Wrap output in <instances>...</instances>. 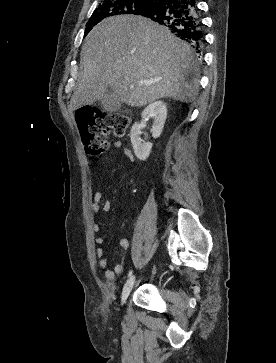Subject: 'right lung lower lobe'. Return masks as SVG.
<instances>
[{"mask_svg": "<svg viewBox=\"0 0 276 363\" xmlns=\"http://www.w3.org/2000/svg\"><path fill=\"white\" fill-rule=\"evenodd\" d=\"M163 26L190 43L200 52L204 44L202 22L196 0H158L141 14Z\"/></svg>", "mask_w": 276, "mask_h": 363, "instance_id": "obj_1", "label": "right lung lower lobe"}]
</instances>
